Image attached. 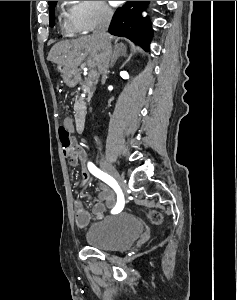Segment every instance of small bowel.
<instances>
[{
  "instance_id": "small-bowel-1",
  "label": "small bowel",
  "mask_w": 237,
  "mask_h": 300,
  "mask_svg": "<svg viewBox=\"0 0 237 300\" xmlns=\"http://www.w3.org/2000/svg\"><path fill=\"white\" fill-rule=\"evenodd\" d=\"M63 126L69 131H75V124L71 118H65ZM64 155L69 159L72 166L79 167L81 170L79 187L85 185L89 179V172L87 169V153L84 148L77 144L73 149L64 151ZM98 202L93 206L92 212L86 208L84 202L80 199L75 201V223L79 228H85L88 223L94 219L103 217L107 210L113 211L116 204V194L111 187L104 182L99 184L98 187ZM91 199V197H89Z\"/></svg>"
}]
</instances>
